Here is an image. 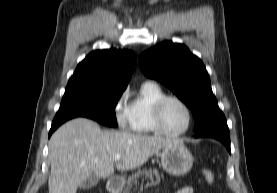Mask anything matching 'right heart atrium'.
<instances>
[{
    "mask_svg": "<svg viewBox=\"0 0 277 193\" xmlns=\"http://www.w3.org/2000/svg\"><path fill=\"white\" fill-rule=\"evenodd\" d=\"M127 92H123L114 107V118L119 128L126 129L129 125V112L125 104Z\"/></svg>",
    "mask_w": 277,
    "mask_h": 193,
    "instance_id": "right-heart-atrium-1",
    "label": "right heart atrium"
}]
</instances>
